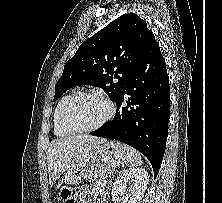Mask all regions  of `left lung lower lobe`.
Returning <instances> with one entry per match:
<instances>
[{
	"instance_id": "0a47b994",
	"label": "left lung lower lobe",
	"mask_w": 222,
	"mask_h": 203,
	"mask_svg": "<svg viewBox=\"0 0 222 203\" xmlns=\"http://www.w3.org/2000/svg\"><path fill=\"white\" fill-rule=\"evenodd\" d=\"M169 91L166 63L151 32L140 60L115 100V117L90 134L116 139L134 147L148 158L156 177L166 147ZM125 95L129 96L126 104Z\"/></svg>"
}]
</instances>
